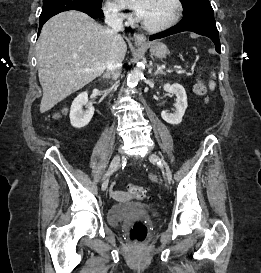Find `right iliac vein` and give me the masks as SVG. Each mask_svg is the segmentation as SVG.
<instances>
[{
    "instance_id": "obj_1",
    "label": "right iliac vein",
    "mask_w": 261,
    "mask_h": 273,
    "mask_svg": "<svg viewBox=\"0 0 261 273\" xmlns=\"http://www.w3.org/2000/svg\"><path fill=\"white\" fill-rule=\"evenodd\" d=\"M121 162V156L120 154H116L111 162L109 171H108V177L104 180L103 184H102V190L105 191L108 187V183H109V176L112 174V172L119 166Z\"/></svg>"
}]
</instances>
